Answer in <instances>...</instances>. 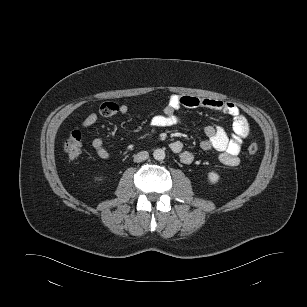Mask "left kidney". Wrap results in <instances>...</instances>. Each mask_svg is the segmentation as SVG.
<instances>
[{"label":"left kidney","mask_w":307,"mask_h":307,"mask_svg":"<svg viewBox=\"0 0 307 307\" xmlns=\"http://www.w3.org/2000/svg\"><path fill=\"white\" fill-rule=\"evenodd\" d=\"M208 179H209V181H210L212 184H215V183H217L218 180H219V175H218L217 173H215V172H210V173L208 174Z\"/></svg>","instance_id":"5707ae66"}]
</instances>
